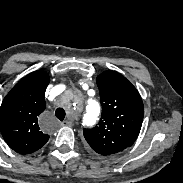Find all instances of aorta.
<instances>
[{
    "label": "aorta",
    "instance_id": "1",
    "mask_svg": "<svg viewBox=\"0 0 183 183\" xmlns=\"http://www.w3.org/2000/svg\"><path fill=\"white\" fill-rule=\"evenodd\" d=\"M100 114V105L96 100H88L86 111L83 115V123L86 125L94 124Z\"/></svg>",
    "mask_w": 183,
    "mask_h": 183
}]
</instances>
